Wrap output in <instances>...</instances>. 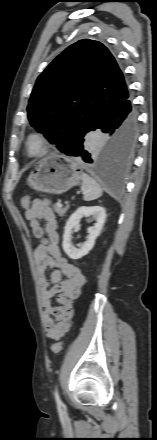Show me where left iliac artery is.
Instances as JSON below:
<instances>
[{
    "label": "left iliac artery",
    "mask_w": 157,
    "mask_h": 440,
    "mask_svg": "<svg viewBox=\"0 0 157 440\" xmlns=\"http://www.w3.org/2000/svg\"><path fill=\"white\" fill-rule=\"evenodd\" d=\"M54 396H55V400L58 406H63V403L60 399L59 393H58V388L57 386L55 387V392H54Z\"/></svg>",
    "instance_id": "1"
}]
</instances>
